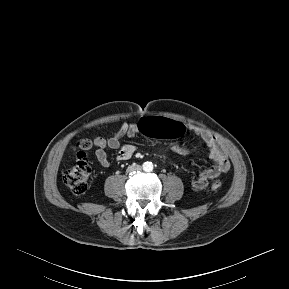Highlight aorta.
<instances>
[{
	"label": "aorta",
	"instance_id": "aorta-1",
	"mask_svg": "<svg viewBox=\"0 0 289 289\" xmlns=\"http://www.w3.org/2000/svg\"><path fill=\"white\" fill-rule=\"evenodd\" d=\"M142 168L145 172H151L153 170V163L147 161V162L143 163Z\"/></svg>",
	"mask_w": 289,
	"mask_h": 289
}]
</instances>
